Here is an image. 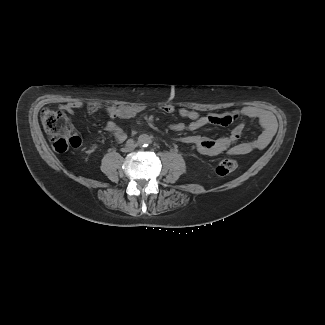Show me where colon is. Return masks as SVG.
I'll return each mask as SVG.
<instances>
[{
	"label": "colon",
	"mask_w": 325,
	"mask_h": 325,
	"mask_svg": "<svg viewBox=\"0 0 325 325\" xmlns=\"http://www.w3.org/2000/svg\"><path fill=\"white\" fill-rule=\"evenodd\" d=\"M44 129L50 137L52 147L57 152H65L69 147L78 146L80 140L71 134V127L62 111L44 109L41 113ZM238 168V162L232 158L222 159L216 168L219 175H228Z\"/></svg>",
	"instance_id": "colon-1"
}]
</instances>
